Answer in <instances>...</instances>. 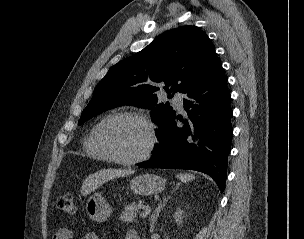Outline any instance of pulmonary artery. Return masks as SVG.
<instances>
[{
  "mask_svg": "<svg viewBox=\"0 0 304 239\" xmlns=\"http://www.w3.org/2000/svg\"><path fill=\"white\" fill-rule=\"evenodd\" d=\"M172 101L178 109L183 110L184 95L182 93L179 92L175 93L172 98Z\"/></svg>",
  "mask_w": 304,
  "mask_h": 239,
  "instance_id": "1",
  "label": "pulmonary artery"
}]
</instances>
